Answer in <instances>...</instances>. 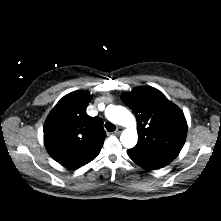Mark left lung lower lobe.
<instances>
[{"label":"left lung lower lobe","instance_id":"left-lung-lower-lobe-1","mask_svg":"<svg viewBox=\"0 0 221 221\" xmlns=\"http://www.w3.org/2000/svg\"><path fill=\"white\" fill-rule=\"evenodd\" d=\"M128 155L136 164L148 170L163 168L173 160L164 157L135 156V155H130L129 153Z\"/></svg>","mask_w":221,"mask_h":221}]
</instances>
